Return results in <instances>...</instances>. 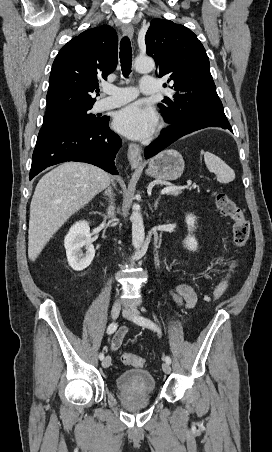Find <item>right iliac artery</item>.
Returning <instances> with one entry per match:
<instances>
[{
    "label": "right iliac artery",
    "instance_id": "1",
    "mask_svg": "<svg viewBox=\"0 0 272 452\" xmlns=\"http://www.w3.org/2000/svg\"><path fill=\"white\" fill-rule=\"evenodd\" d=\"M116 329H117V323H115V322L111 323V324L108 326V328H107V334H112V333H114V332L116 331ZM99 359H100V360H103V359H104V354H103V353H100V354H99Z\"/></svg>",
    "mask_w": 272,
    "mask_h": 452
}]
</instances>
